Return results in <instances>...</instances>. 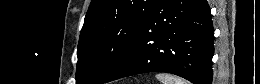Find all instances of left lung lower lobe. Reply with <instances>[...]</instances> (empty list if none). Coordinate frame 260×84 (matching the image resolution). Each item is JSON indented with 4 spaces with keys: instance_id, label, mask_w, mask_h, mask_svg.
I'll return each instance as SVG.
<instances>
[{
    "instance_id": "1",
    "label": "left lung lower lobe",
    "mask_w": 260,
    "mask_h": 84,
    "mask_svg": "<svg viewBox=\"0 0 260 84\" xmlns=\"http://www.w3.org/2000/svg\"><path fill=\"white\" fill-rule=\"evenodd\" d=\"M214 29L206 0H156L121 63L104 83L168 72L212 84Z\"/></svg>"
}]
</instances>
